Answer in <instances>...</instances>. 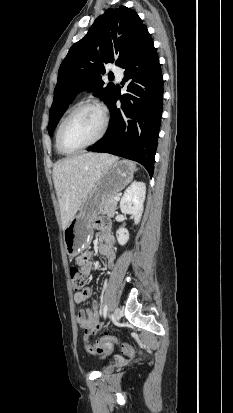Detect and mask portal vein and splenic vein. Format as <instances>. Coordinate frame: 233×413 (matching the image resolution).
Listing matches in <instances>:
<instances>
[{"label":"portal vein and splenic vein","instance_id":"portal-vein-and-splenic-vein-1","mask_svg":"<svg viewBox=\"0 0 233 413\" xmlns=\"http://www.w3.org/2000/svg\"><path fill=\"white\" fill-rule=\"evenodd\" d=\"M119 199H120V198H119L118 196H117V197H115V200H116V201H118Z\"/></svg>","mask_w":233,"mask_h":413}]
</instances>
